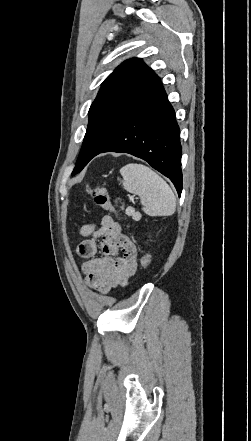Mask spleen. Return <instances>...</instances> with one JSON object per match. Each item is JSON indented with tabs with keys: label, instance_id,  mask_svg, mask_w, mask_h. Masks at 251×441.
<instances>
[{
	"label": "spleen",
	"instance_id": "spleen-1",
	"mask_svg": "<svg viewBox=\"0 0 251 441\" xmlns=\"http://www.w3.org/2000/svg\"><path fill=\"white\" fill-rule=\"evenodd\" d=\"M122 186L137 194L143 211L149 216H170L176 210V198L170 186L156 172L139 163H129L120 169Z\"/></svg>",
	"mask_w": 251,
	"mask_h": 441
}]
</instances>
